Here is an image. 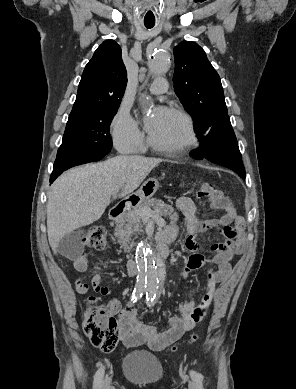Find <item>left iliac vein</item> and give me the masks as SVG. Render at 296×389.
I'll list each match as a JSON object with an SVG mask.
<instances>
[{
    "label": "left iliac vein",
    "mask_w": 296,
    "mask_h": 389,
    "mask_svg": "<svg viewBox=\"0 0 296 389\" xmlns=\"http://www.w3.org/2000/svg\"><path fill=\"white\" fill-rule=\"evenodd\" d=\"M188 386H189V389H196L195 384L191 381L189 382Z\"/></svg>",
    "instance_id": "4c4485c4"
}]
</instances>
